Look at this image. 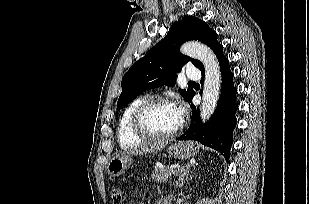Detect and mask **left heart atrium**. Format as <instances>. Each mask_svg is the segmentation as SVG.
Segmentation results:
<instances>
[{
    "label": "left heart atrium",
    "instance_id": "obj_1",
    "mask_svg": "<svg viewBox=\"0 0 309 204\" xmlns=\"http://www.w3.org/2000/svg\"><path fill=\"white\" fill-rule=\"evenodd\" d=\"M177 112L179 114L180 119H183L184 114H185V106L184 105H179L176 107Z\"/></svg>",
    "mask_w": 309,
    "mask_h": 204
}]
</instances>
